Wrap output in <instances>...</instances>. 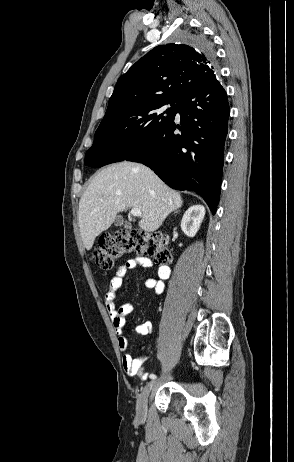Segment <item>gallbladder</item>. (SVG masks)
Segmentation results:
<instances>
[{
	"instance_id": "gallbladder-1",
	"label": "gallbladder",
	"mask_w": 294,
	"mask_h": 462,
	"mask_svg": "<svg viewBox=\"0 0 294 462\" xmlns=\"http://www.w3.org/2000/svg\"><path fill=\"white\" fill-rule=\"evenodd\" d=\"M114 223H115L116 226H121V225H123L124 220H123V218H122L121 216H118V217L115 219V222H114Z\"/></svg>"
}]
</instances>
